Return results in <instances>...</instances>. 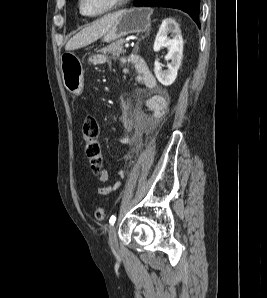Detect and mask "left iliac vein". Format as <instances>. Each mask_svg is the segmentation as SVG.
<instances>
[{"label": "left iliac vein", "mask_w": 267, "mask_h": 298, "mask_svg": "<svg viewBox=\"0 0 267 298\" xmlns=\"http://www.w3.org/2000/svg\"><path fill=\"white\" fill-rule=\"evenodd\" d=\"M109 245L114 253H118L117 231L114 225L109 230Z\"/></svg>", "instance_id": "1"}]
</instances>
